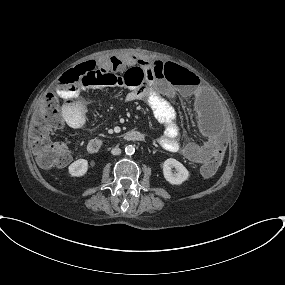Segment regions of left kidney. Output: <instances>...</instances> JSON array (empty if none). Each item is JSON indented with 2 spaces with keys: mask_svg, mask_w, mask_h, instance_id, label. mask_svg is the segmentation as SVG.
<instances>
[{
  "mask_svg": "<svg viewBox=\"0 0 285 285\" xmlns=\"http://www.w3.org/2000/svg\"><path fill=\"white\" fill-rule=\"evenodd\" d=\"M171 168H175L177 173H173ZM163 175L170 184L180 185L188 179L189 172L179 161L169 158L163 163Z\"/></svg>",
  "mask_w": 285,
  "mask_h": 285,
  "instance_id": "left-kidney-1",
  "label": "left kidney"
}]
</instances>
